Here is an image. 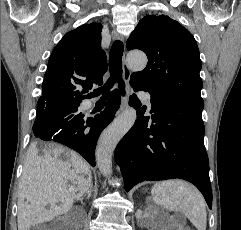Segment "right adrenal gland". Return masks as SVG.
Wrapping results in <instances>:
<instances>
[{
	"label": "right adrenal gland",
	"instance_id": "right-adrenal-gland-1",
	"mask_svg": "<svg viewBox=\"0 0 241 230\" xmlns=\"http://www.w3.org/2000/svg\"><path fill=\"white\" fill-rule=\"evenodd\" d=\"M92 184L90 185L88 191L81 197L80 201H82L86 196H87V199H90L91 197V193H92Z\"/></svg>",
	"mask_w": 241,
	"mask_h": 230
}]
</instances>
